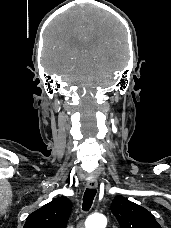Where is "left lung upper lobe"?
<instances>
[{"label": "left lung upper lobe", "instance_id": "obj_1", "mask_svg": "<svg viewBox=\"0 0 171 228\" xmlns=\"http://www.w3.org/2000/svg\"><path fill=\"white\" fill-rule=\"evenodd\" d=\"M111 211L117 218L121 228H161L148 210L123 196L114 198Z\"/></svg>", "mask_w": 171, "mask_h": 228}]
</instances>
